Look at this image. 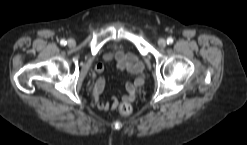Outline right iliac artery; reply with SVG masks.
Listing matches in <instances>:
<instances>
[{
	"label": "right iliac artery",
	"instance_id": "right-iliac-artery-1",
	"mask_svg": "<svg viewBox=\"0 0 247 145\" xmlns=\"http://www.w3.org/2000/svg\"><path fill=\"white\" fill-rule=\"evenodd\" d=\"M60 44L63 45V46H65V45L67 44V42H66L64 39H62V40L60 41Z\"/></svg>",
	"mask_w": 247,
	"mask_h": 145
}]
</instances>
